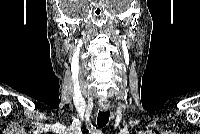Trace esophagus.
I'll use <instances>...</instances> for the list:
<instances>
[{
  "instance_id": "34e87169",
  "label": "esophagus",
  "mask_w": 200,
  "mask_h": 134,
  "mask_svg": "<svg viewBox=\"0 0 200 134\" xmlns=\"http://www.w3.org/2000/svg\"><path fill=\"white\" fill-rule=\"evenodd\" d=\"M109 107H110L109 103H101L100 104V109L102 111H107L109 109Z\"/></svg>"
}]
</instances>
